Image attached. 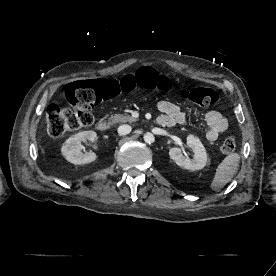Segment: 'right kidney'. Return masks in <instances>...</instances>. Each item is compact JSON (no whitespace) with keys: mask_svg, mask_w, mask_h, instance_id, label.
<instances>
[{"mask_svg":"<svg viewBox=\"0 0 276 276\" xmlns=\"http://www.w3.org/2000/svg\"><path fill=\"white\" fill-rule=\"evenodd\" d=\"M97 134L94 131H82L69 137L62 145L61 153L64 158L75 165L89 164L96 160L94 152H81V142L95 140Z\"/></svg>","mask_w":276,"mask_h":276,"instance_id":"1","label":"right kidney"}]
</instances>
